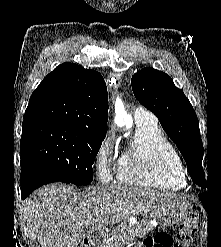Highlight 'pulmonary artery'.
<instances>
[{
  "instance_id": "pulmonary-artery-1",
  "label": "pulmonary artery",
  "mask_w": 221,
  "mask_h": 247,
  "mask_svg": "<svg viewBox=\"0 0 221 247\" xmlns=\"http://www.w3.org/2000/svg\"><path fill=\"white\" fill-rule=\"evenodd\" d=\"M134 119L135 122L142 121V120H153L155 121L156 118L151 113L147 112L142 107H136L134 110Z\"/></svg>"
}]
</instances>
